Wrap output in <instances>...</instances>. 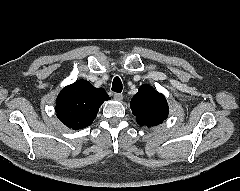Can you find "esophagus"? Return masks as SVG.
I'll return each mask as SVG.
<instances>
[{"mask_svg": "<svg viewBox=\"0 0 240 191\" xmlns=\"http://www.w3.org/2000/svg\"><path fill=\"white\" fill-rule=\"evenodd\" d=\"M113 96H114V99L117 101H121L123 99V95L120 93H115Z\"/></svg>", "mask_w": 240, "mask_h": 191, "instance_id": "34e87169", "label": "esophagus"}]
</instances>
